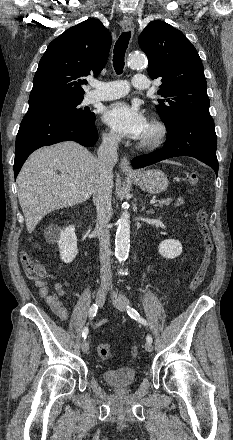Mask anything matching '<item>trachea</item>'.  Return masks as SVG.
<instances>
[{
	"mask_svg": "<svg viewBox=\"0 0 233 440\" xmlns=\"http://www.w3.org/2000/svg\"><path fill=\"white\" fill-rule=\"evenodd\" d=\"M130 37H131L130 32L122 33L114 46L113 66H114L115 72L118 75L123 72V68L125 65L124 57H125V52L128 47Z\"/></svg>",
	"mask_w": 233,
	"mask_h": 440,
	"instance_id": "3493384b",
	"label": "trachea"
}]
</instances>
